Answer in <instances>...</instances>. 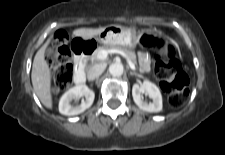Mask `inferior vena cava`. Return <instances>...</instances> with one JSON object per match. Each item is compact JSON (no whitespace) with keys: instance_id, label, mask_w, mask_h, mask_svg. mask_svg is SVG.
Instances as JSON below:
<instances>
[{"instance_id":"602c4592","label":"inferior vena cava","mask_w":225,"mask_h":155,"mask_svg":"<svg viewBox=\"0 0 225 155\" xmlns=\"http://www.w3.org/2000/svg\"><path fill=\"white\" fill-rule=\"evenodd\" d=\"M106 66L104 64H96L92 66L87 72L88 80H94L98 78L105 70Z\"/></svg>"}]
</instances>
